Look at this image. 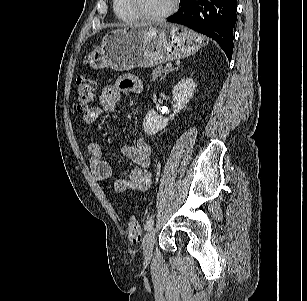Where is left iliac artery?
<instances>
[{
    "label": "left iliac artery",
    "mask_w": 307,
    "mask_h": 301,
    "mask_svg": "<svg viewBox=\"0 0 307 301\" xmlns=\"http://www.w3.org/2000/svg\"><path fill=\"white\" fill-rule=\"evenodd\" d=\"M153 224H154V219H149L147 222H146V224H145V230H149V229H151L152 228V226H153Z\"/></svg>",
    "instance_id": "left-iliac-artery-1"
}]
</instances>
